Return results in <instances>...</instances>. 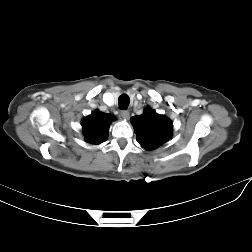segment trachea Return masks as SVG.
<instances>
[{"label":"trachea","instance_id":"obj_1","mask_svg":"<svg viewBox=\"0 0 252 252\" xmlns=\"http://www.w3.org/2000/svg\"><path fill=\"white\" fill-rule=\"evenodd\" d=\"M129 97L128 95L126 94H123L119 97V100H118V104H119V108L120 109H127V107L129 106Z\"/></svg>","mask_w":252,"mask_h":252}]
</instances>
